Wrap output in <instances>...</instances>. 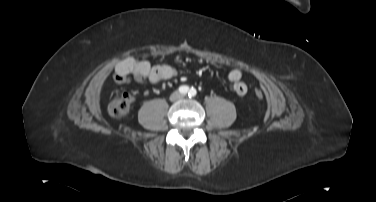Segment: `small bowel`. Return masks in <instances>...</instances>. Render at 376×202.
<instances>
[{"label": "small bowel", "instance_id": "1", "mask_svg": "<svg viewBox=\"0 0 376 202\" xmlns=\"http://www.w3.org/2000/svg\"><path fill=\"white\" fill-rule=\"evenodd\" d=\"M213 62L218 65L225 64L221 60ZM178 75L179 72L170 65H152L148 60L129 57L116 64L113 80L117 84H128L132 79L138 83L157 84ZM227 80L237 95L243 96L247 93L248 89L242 82V71L239 68L231 69L227 74Z\"/></svg>", "mask_w": 376, "mask_h": 202}]
</instances>
